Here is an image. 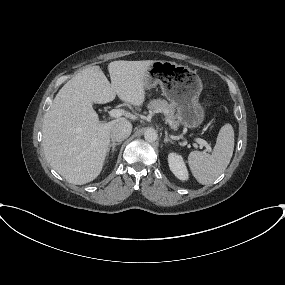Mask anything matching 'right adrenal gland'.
Wrapping results in <instances>:
<instances>
[{
	"label": "right adrenal gland",
	"mask_w": 285,
	"mask_h": 285,
	"mask_svg": "<svg viewBox=\"0 0 285 285\" xmlns=\"http://www.w3.org/2000/svg\"><path fill=\"white\" fill-rule=\"evenodd\" d=\"M122 142H113L111 144H109L108 149H107V155H109L110 149H112V153H114L115 151V147L117 145H121Z\"/></svg>",
	"instance_id": "1"
}]
</instances>
